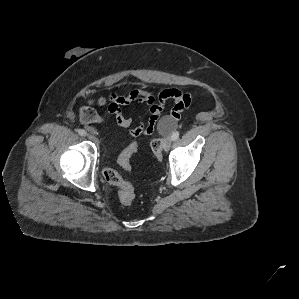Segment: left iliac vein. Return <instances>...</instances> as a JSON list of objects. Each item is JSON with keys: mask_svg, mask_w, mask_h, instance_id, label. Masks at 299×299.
<instances>
[{"mask_svg": "<svg viewBox=\"0 0 299 299\" xmlns=\"http://www.w3.org/2000/svg\"><path fill=\"white\" fill-rule=\"evenodd\" d=\"M171 143H172V138L171 137H166L163 141V147L165 151H168L171 147Z\"/></svg>", "mask_w": 299, "mask_h": 299, "instance_id": "left-iliac-vein-1", "label": "left iliac vein"}]
</instances>
